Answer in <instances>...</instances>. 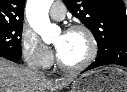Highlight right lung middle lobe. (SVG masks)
<instances>
[{
  "label": "right lung middle lobe",
  "mask_w": 127,
  "mask_h": 92,
  "mask_svg": "<svg viewBox=\"0 0 127 92\" xmlns=\"http://www.w3.org/2000/svg\"><path fill=\"white\" fill-rule=\"evenodd\" d=\"M22 27L23 24L0 25V49L20 54Z\"/></svg>",
  "instance_id": "1"
}]
</instances>
